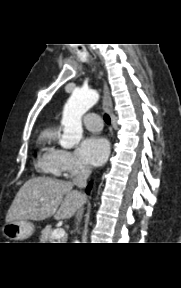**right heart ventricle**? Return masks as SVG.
Wrapping results in <instances>:
<instances>
[{
    "instance_id": "e07e8e85",
    "label": "right heart ventricle",
    "mask_w": 181,
    "mask_h": 288,
    "mask_svg": "<svg viewBox=\"0 0 181 288\" xmlns=\"http://www.w3.org/2000/svg\"><path fill=\"white\" fill-rule=\"evenodd\" d=\"M56 132L52 127L44 129L38 137L39 154L37 166L47 173L55 174L58 169V149L55 147Z\"/></svg>"
}]
</instances>
